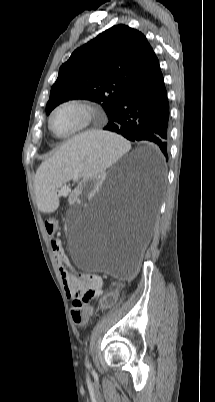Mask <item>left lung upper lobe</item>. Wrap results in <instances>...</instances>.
<instances>
[{
  "instance_id": "5c2ea615",
  "label": "left lung upper lobe",
  "mask_w": 215,
  "mask_h": 402,
  "mask_svg": "<svg viewBox=\"0 0 215 402\" xmlns=\"http://www.w3.org/2000/svg\"><path fill=\"white\" fill-rule=\"evenodd\" d=\"M157 61L144 34L126 25L113 26L62 64L46 114L65 101L87 99L101 104L109 119L131 86Z\"/></svg>"
}]
</instances>
